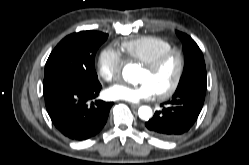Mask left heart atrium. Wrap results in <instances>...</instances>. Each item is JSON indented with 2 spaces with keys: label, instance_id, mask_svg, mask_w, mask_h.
Segmentation results:
<instances>
[{
  "label": "left heart atrium",
  "instance_id": "39dd6f15",
  "mask_svg": "<svg viewBox=\"0 0 249 165\" xmlns=\"http://www.w3.org/2000/svg\"><path fill=\"white\" fill-rule=\"evenodd\" d=\"M154 94L155 90L146 81H141L137 85L116 83L107 89L109 98L128 102H139L152 97Z\"/></svg>",
  "mask_w": 249,
  "mask_h": 165
}]
</instances>
